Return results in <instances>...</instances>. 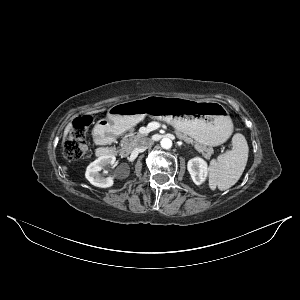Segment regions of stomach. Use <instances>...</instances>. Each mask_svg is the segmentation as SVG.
Segmentation results:
<instances>
[{"label":"stomach","mask_w":300,"mask_h":300,"mask_svg":"<svg viewBox=\"0 0 300 300\" xmlns=\"http://www.w3.org/2000/svg\"><path fill=\"white\" fill-rule=\"evenodd\" d=\"M163 120L196 141L218 146L230 137L233 124L226 108L216 101H195L181 97L150 96L112 106L99 121L105 132L121 134L145 116Z\"/></svg>","instance_id":"obj_1"}]
</instances>
